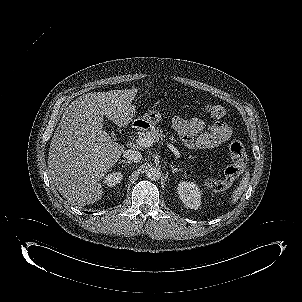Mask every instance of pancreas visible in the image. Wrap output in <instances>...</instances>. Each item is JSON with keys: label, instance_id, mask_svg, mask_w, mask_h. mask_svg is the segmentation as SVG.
Returning a JSON list of instances; mask_svg holds the SVG:
<instances>
[{"label": "pancreas", "instance_id": "pancreas-1", "mask_svg": "<svg viewBox=\"0 0 302 302\" xmlns=\"http://www.w3.org/2000/svg\"><path fill=\"white\" fill-rule=\"evenodd\" d=\"M143 136L153 138L155 141H159L163 139L164 134L160 128L153 127L151 130L145 132Z\"/></svg>", "mask_w": 302, "mask_h": 302}]
</instances>
